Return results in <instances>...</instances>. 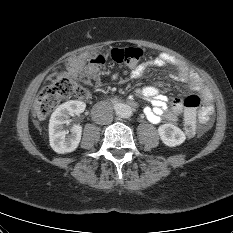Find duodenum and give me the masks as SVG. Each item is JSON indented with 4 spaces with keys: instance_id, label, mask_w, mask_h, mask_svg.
I'll list each match as a JSON object with an SVG mask.
<instances>
[{
    "instance_id": "1",
    "label": "duodenum",
    "mask_w": 233,
    "mask_h": 233,
    "mask_svg": "<svg viewBox=\"0 0 233 233\" xmlns=\"http://www.w3.org/2000/svg\"><path fill=\"white\" fill-rule=\"evenodd\" d=\"M112 102L116 104V103H118V100L115 99V98H113V99H112Z\"/></svg>"
}]
</instances>
